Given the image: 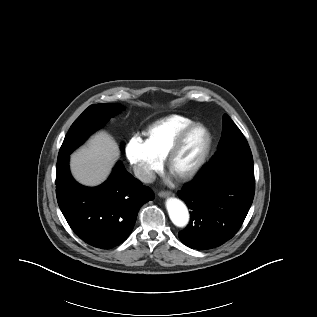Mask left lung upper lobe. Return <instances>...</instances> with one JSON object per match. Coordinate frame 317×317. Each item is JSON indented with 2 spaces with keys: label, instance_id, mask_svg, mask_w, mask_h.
I'll return each instance as SVG.
<instances>
[{
  "label": "left lung upper lobe",
  "instance_id": "5c2ea615",
  "mask_svg": "<svg viewBox=\"0 0 317 317\" xmlns=\"http://www.w3.org/2000/svg\"><path fill=\"white\" fill-rule=\"evenodd\" d=\"M228 158H241L253 162L250 147L239 128L227 115H223V131L217 152L211 161L220 163Z\"/></svg>",
  "mask_w": 317,
  "mask_h": 317
}]
</instances>
